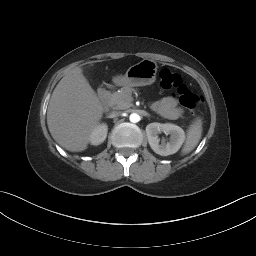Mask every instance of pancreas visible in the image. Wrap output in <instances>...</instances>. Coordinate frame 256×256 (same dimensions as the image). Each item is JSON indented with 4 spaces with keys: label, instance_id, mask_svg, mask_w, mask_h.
Instances as JSON below:
<instances>
[{
    "label": "pancreas",
    "instance_id": "obj_1",
    "mask_svg": "<svg viewBox=\"0 0 256 256\" xmlns=\"http://www.w3.org/2000/svg\"><path fill=\"white\" fill-rule=\"evenodd\" d=\"M109 105L114 109H127L132 105V89L125 87L124 89L108 95Z\"/></svg>",
    "mask_w": 256,
    "mask_h": 256
}]
</instances>
